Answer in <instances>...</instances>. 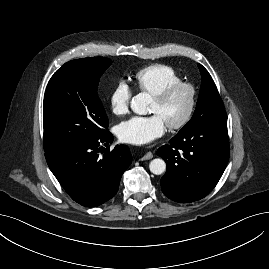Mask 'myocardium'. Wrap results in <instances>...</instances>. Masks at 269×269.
I'll list each match as a JSON object with an SVG mask.
<instances>
[{
    "label": "myocardium",
    "mask_w": 269,
    "mask_h": 269,
    "mask_svg": "<svg viewBox=\"0 0 269 269\" xmlns=\"http://www.w3.org/2000/svg\"><path fill=\"white\" fill-rule=\"evenodd\" d=\"M181 88L188 90L189 103H188L185 113L183 114L181 118H179L178 120L170 121L166 123V125L170 129H180L184 127L190 121L194 113L196 101H197V91H196L195 86L192 83L180 81V82L167 85L161 91L152 95L153 99H155L156 101L160 103H163V102H166L175 91Z\"/></svg>",
    "instance_id": "1"
}]
</instances>
